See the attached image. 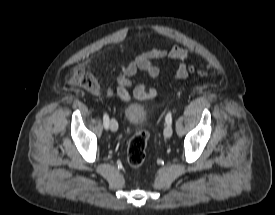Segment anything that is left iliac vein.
<instances>
[{
	"label": "left iliac vein",
	"mask_w": 275,
	"mask_h": 215,
	"mask_svg": "<svg viewBox=\"0 0 275 215\" xmlns=\"http://www.w3.org/2000/svg\"><path fill=\"white\" fill-rule=\"evenodd\" d=\"M172 132H173L172 126L171 124H168L164 129V136L166 138H170L172 136Z\"/></svg>",
	"instance_id": "obj_1"
}]
</instances>
